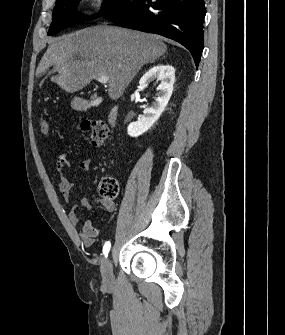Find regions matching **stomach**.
I'll return each instance as SVG.
<instances>
[{"label": "stomach", "mask_w": 285, "mask_h": 335, "mask_svg": "<svg viewBox=\"0 0 285 335\" xmlns=\"http://www.w3.org/2000/svg\"><path fill=\"white\" fill-rule=\"evenodd\" d=\"M74 104H75L76 108H79V106H80V100H75Z\"/></svg>", "instance_id": "0dacf381"}]
</instances>
